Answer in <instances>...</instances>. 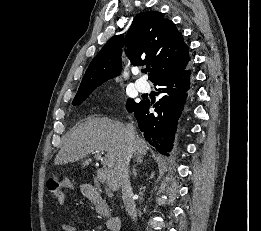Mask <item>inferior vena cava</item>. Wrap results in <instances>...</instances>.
I'll return each instance as SVG.
<instances>
[{
	"instance_id": "602c4592",
	"label": "inferior vena cava",
	"mask_w": 261,
	"mask_h": 231,
	"mask_svg": "<svg viewBox=\"0 0 261 231\" xmlns=\"http://www.w3.org/2000/svg\"><path fill=\"white\" fill-rule=\"evenodd\" d=\"M127 136L129 141H132L135 136V129L134 126L131 124L127 125ZM122 199L124 203V207L128 215L134 220H137V212H136V205L133 200V191L132 187L130 184V179H129V161L126 164V167L123 172V177H122Z\"/></svg>"
}]
</instances>
